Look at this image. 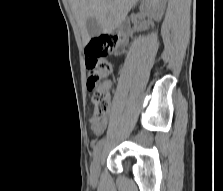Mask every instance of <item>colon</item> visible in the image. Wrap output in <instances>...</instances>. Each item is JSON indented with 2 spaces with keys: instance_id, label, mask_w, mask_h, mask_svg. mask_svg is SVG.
Returning a JSON list of instances; mask_svg holds the SVG:
<instances>
[{
  "instance_id": "1",
  "label": "colon",
  "mask_w": 223,
  "mask_h": 191,
  "mask_svg": "<svg viewBox=\"0 0 223 191\" xmlns=\"http://www.w3.org/2000/svg\"><path fill=\"white\" fill-rule=\"evenodd\" d=\"M122 42L123 38L119 35L98 37L90 40L85 48V64L90 70L87 87L92 93L95 115L99 118L105 117L110 107L105 81L111 75L112 68L103 58L117 50Z\"/></svg>"
}]
</instances>
